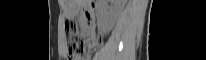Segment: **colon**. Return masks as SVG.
Wrapping results in <instances>:
<instances>
[{
    "instance_id": "obj_1",
    "label": "colon",
    "mask_w": 206,
    "mask_h": 60,
    "mask_svg": "<svg viewBox=\"0 0 206 60\" xmlns=\"http://www.w3.org/2000/svg\"><path fill=\"white\" fill-rule=\"evenodd\" d=\"M68 49L67 56L69 60H73L78 55L80 49L82 48V43L78 37V29L75 22H67L65 26Z\"/></svg>"
}]
</instances>
